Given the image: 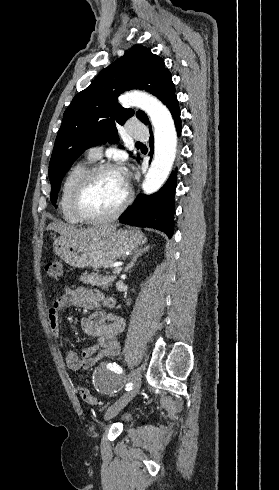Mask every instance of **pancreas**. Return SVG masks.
<instances>
[{"instance_id":"cf45deb5","label":"pancreas","mask_w":279,"mask_h":490,"mask_svg":"<svg viewBox=\"0 0 279 490\" xmlns=\"http://www.w3.org/2000/svg\"><path fill=\"white\" fill-rule=\"evenodd\" d=\"M117 276H119V274H114V276H108V274H106V276H98V272H91V274L85 272V274H82L80 280L83 284H92V286H98V288L106 290L108 286H112Z\"/></svg>"}]
</instances>
